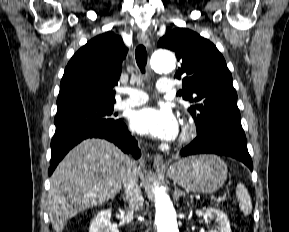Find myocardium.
Returning a JSON list of instances; mask_svg holds the SVG:
<instances>
[{"mask_svg": "<svg viewBox=\"0 0 289 232\" xmlns=\"http://www.w3.org/2000/svg\"><path fill=\"white\" fill-rule=\"evenodd\" d=\"M194 131H195L194 125L188 123L185 124L182 132V140L183 141L189 140L193 136Z\"/></svg>", "mask_w": 289, "mask_h": 232, "instance_id": "myocardium-1", "label": "myocardium"}]
</instances>
